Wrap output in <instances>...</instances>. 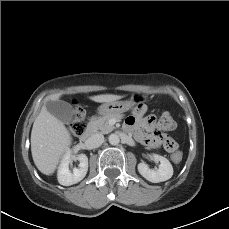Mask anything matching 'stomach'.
Here are the masks:
<instances>
[{
	"instance_id": "1",
	"label": "stomach",
	"mask_w": 229,
	"mask_h": 229,
	"mask_svg": "<svg viewBox=\"0 0 229 229\" xmlns=\"http://www.w3.org/2000/svg\"><path fill=\"white\" fill-rule=\"evenodd\" d=\"M145 97L139 94L133 95L130 100L126 101H114L109 103H104L98 107V113L100 115H111V114H121L132 109L136 104L141 103Z\"/></svg>"
}]
</instances>
